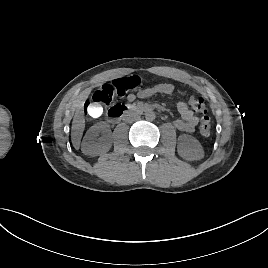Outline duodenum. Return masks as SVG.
<instances>
[{"instance_id":"410a0bca","label":"duodenum","mask_w":268,"mask_h":268,"mask_svg":"<svg viewBox=\"0 0 268 268\" xmlns=\"http://www.w3.org/2000/svg\"><path fill=\"white\" fill-rule=\"evenodd\" d=\"M151 112V109L144 105L116 104L109 108L108 117L113 122H118L129 114H142Z\"/></svg>"}]
</instances>
